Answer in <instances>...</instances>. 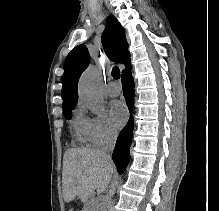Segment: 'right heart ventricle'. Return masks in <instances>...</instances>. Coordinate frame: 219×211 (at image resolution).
<instances>
[{
	"mask_svg": "<svg viewBox=\"0 0 219 211\" xmlns=\"http://www.w3.org/2000/svg\"><path fill=\"white\" fill-rule=\"evenodd\" d=\"M74 129L80 138L87 137L85 134V129H84V123H83V118L77 117L74 121Z\"/></svg>",
	"mask_w": 219,
	"mask_h": 211,
	"instance_id": "obj_1",
	"label": "right heart ventricle"
}]
</instances>
